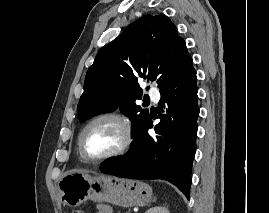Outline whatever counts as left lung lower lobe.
I'll list each match as a JSON object with an SVG mask.
<instances>
[{
    "label": "left lung lower lobe",
    "mask_w": 270,
    "mask_h": 213,
    "mask_svg": "<svg viewBox=\"0 0 270 213\" xmlns=\"http://www.w3.org/2000/svg\"><path fill=\"white\" fill-rule=\"evenodd\" d=\"M196 72L189 67L162 89L161 103L169 107L167 117L155 126L157 136L148 135L149 119L136 132L131 151L111 158L101 172L132 179H163L176 185L189 199L191 168L196 151L197 105Z\"/></svg>",
    "instance_id": "0a47b994"
}]
</instances>
